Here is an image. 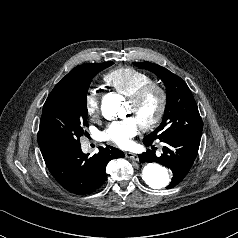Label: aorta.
<instances>
[{
  "mask_svg": "<svg viewBox=\"0 0 238 238\" xmlns=\"http://www.w3.org/2000/svg\"><path fill=\"white\" fill-rule=\"evenodd\" d=\"M121 98L117 95L107 96L102 101V114L107 120L115 119L124 114V107ZM142 179L152 189H165L170 183L168 170L157 164L147 163L142 170Z\"/></svg>",
  "mask_w": 238,
  "mask_h": 238,
  "instance_id": "aorta-1",
  "label": "aorta"
}]
</instances>
